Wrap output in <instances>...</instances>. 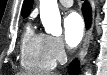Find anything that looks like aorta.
Returning <instances> with one entry per match:
<instances>
[{"label": "aorta", "instance_id": "762f6f07", "mask_svg": "<svg viewBox=\"0 0 107 75\" xmlns=\"http://www.w3.org/2000/svg\"><path fill=\"white\" fill-rule=\"evenodd\" d=\"M40 18L47 33L54 36L62 34L57 0H40ZM86 75H90V73L86 72Z\"/></svg>", "mask_w": 107, "mask_h": 75}]
</instances>
